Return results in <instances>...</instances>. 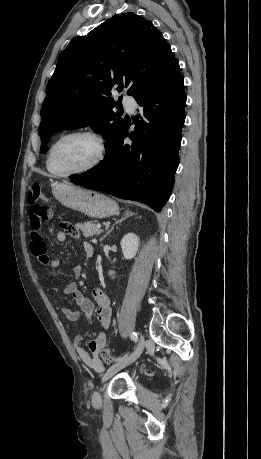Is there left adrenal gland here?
Returning <instances> with one entry per match:
<instances>
[{
	"instance_id": "obj_1",
	"label": "left adrenal gland",
	"mask_w": 261,
	"mask_h": 459,
	"mask_svg": "<svg viewBox=\"0 0 261 459\" xmlns=\"http://www.w3.org/2000/svg\"><path fill=\"white\" fill-rule=\"evenodd\" d=\"M134 214L133 213H130V212H126L119 220H117L111 227L110 230H108V232L101 238V241L104 240L113 230H114V226L117 225V224H120L121 222H123L124 220H126L127 218L133 216Z\"/></svg>"
}]
</instances>
